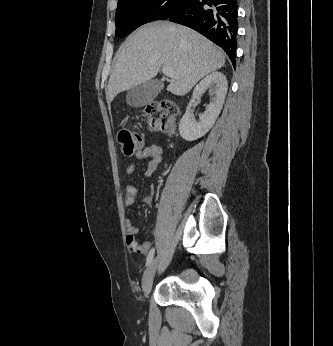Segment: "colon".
<instances>
[{
	"label": "colon",
	"mask_w": 333,
	"mask_h": 346,
	"mask_svg": "<svg viewBox=\"0 0 333 346\" xmlns=\"http://www.w3.org/2000/svg\"><path fill=\"white\" fill-rule=\"evenodd\" d=\"M177 114L178 107L170 100L149 104L144 110L148 128L164 133L174 130V119ZM117 140L122 152L127 156L140 151L144 146L142 135L129 129H121L117 134Z\"/></svg>",
	"instance_id": "obj_1"
}]
</instances>
